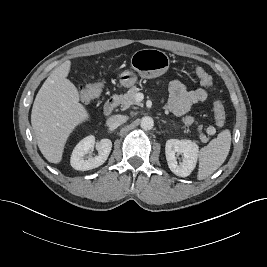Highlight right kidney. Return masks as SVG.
<instances>
[{
    "label": "right kidney",
    "mask_w": 267,
    "mask_h": 267,
    "mask_svg": "<svg viewBox=\"0 0 267 267\" xmlns=\"http://www.w3.org/2000/svg\"><path fill=\"white\" fill-rule=\"evenodd\" d=\"M95 145V137L87 136L82 139L74 148L71 155V166L75 170L87 171L101 166L108 158L111 149L112 142L110 139H101L98 143L97 149L99 151L98 155L95 157L87 156L93 150Z\"/></svg>",
    "instance_id": "1"
}]
</instances>
